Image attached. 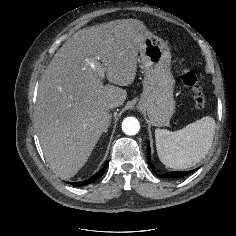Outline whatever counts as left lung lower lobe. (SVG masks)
Masks as SVG:
<instances>
[{
	"instance_id": "0a47b994",
	"label": "left lung lower lobe",
	"mask_w": 236,
	"mask_h": 236,
	"mask_svg": "<svg viewBox=\"0 0 236 236\" xmlns=\"http://www.w3.org/2000/svg\"><path fill=\"white\" fill-rule=\"evenodd\" d=\"M150 157H151V150H150V144L148 143V147H147V160H148L149 165L151 166L152 170L156 173L154 165L151 162ZM195 170L196 169L191 170V171H185V172L172 171V172H168V173L161 174V175L156 173V175H158L160 178H179V177H183L185 175H188V174H190L191 172H193Z\"/></svg>"
}]
</instances>
